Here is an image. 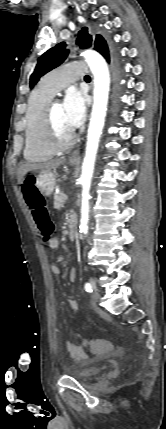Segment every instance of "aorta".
I'll return each mask as SVG.
<instances>
[{
  "label": "aorta",
  "mask_w": 166,
  "mask_h": 429,
  "mask_svg": "<svg viewBox=\"0 0 166 429\" xmlns=\"http://www.w3.org/2000/svg\"><path fill=\"white\" fill-rule=\"evenodd\" d=\"M88 63L94 76L93 107L88 127L86 153L82 163L80 183L82 185L80 233H87L89 220V198L91 181L94 172L96 154L104 127L108 94L110 87V75L106 61L97 52L86 50L81 54Z\"/></svg>",
  "instance_id": "762f6f07"
}]
</instances>
